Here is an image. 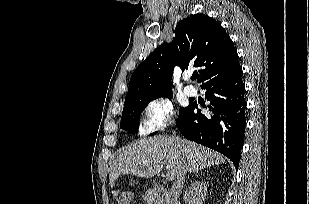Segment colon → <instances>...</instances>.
<instances>
[{"label":"colon","instance_id":"colon-1","mask_svg":"<svg viewBox=\"0 0 309 204\" xmlns=\"http://www.w3.org/2000/svg\"><path fill=\"white\" fill-rule=\"evenodd\" d=\"M114 198L118 204H131L134 198L133 192L128 189H117Z\"/></svg>","mask_w":309,"mask_h":204}]
</instances>
